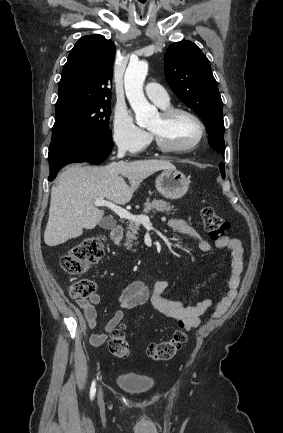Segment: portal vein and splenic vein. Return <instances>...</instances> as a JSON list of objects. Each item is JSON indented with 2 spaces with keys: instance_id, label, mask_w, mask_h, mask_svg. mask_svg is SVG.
I'll return each instance as SVG.
<instances>
[{
  "instance_id": "18ae733b",
  "label": "portal vein and splenic vein",
  "mask_w": 283,
  "mask_h": 433,
  "mask_svg": "<svg viewBox=\"0 0 283 433\" xmlns=\"http://www.w3.org/2000/svg\"><path fill=\"white\" fill-rule=\"evenodd\" d=\"M96 206H108L111 210H114L116 214H119L120 219H128V221H133V223H141V225H147L150 223L149 217H146V214H132L129 210H125V208H121V206H117L114 202H109V200H103V198H96L93 200Z\"/></svg>"
}]
</instances>
